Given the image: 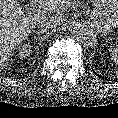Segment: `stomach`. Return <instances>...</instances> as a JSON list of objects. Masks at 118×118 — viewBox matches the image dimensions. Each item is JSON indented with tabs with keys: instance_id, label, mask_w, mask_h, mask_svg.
I'll list each match as a JSON object with an SVG mask.
<instances>
[{
	"instance_id": "obj_1",
	"label": "stomach",
	"mask_w": 118,
	"mask_h": 118,
	"mask_svg": "<svg viewBox=\"0 0 118 118\" xmlns=\"http://www.w3.org/2000/svg\"><path fill=\"white\" fill-rule=\"evenodd\" d=\"M89 23L102 35H110L118 27V0H94Z\"/></svg>"
}]
</instances>
